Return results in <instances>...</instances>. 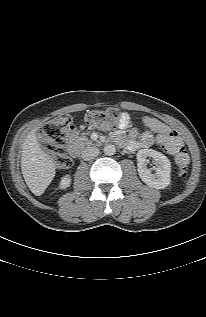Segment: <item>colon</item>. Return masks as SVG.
I'll return each instance as SVG.
<instances>
[{
    "label": "colon",
    "instance_id": "obj_1",
    "mask_svg": "<svg viewBox=\"0 0 206 317\" xmlns=\"http://www.w3.org/2000/svg\"><path fill=\"white\" fill-rule=\"evenodd\" d=\"M121 116L122 114L117 108H107L87 113L85 121L91 127L107 130L119 126ZM72 128L71 117L63 115L45 125L39 132L41 144L53 154L60 170H66L72 165V159L65 150V144ZM160 144L166 152L174 156L179 173L185 175L189 156L179 135L175 131L168 133Z\"/></svg>",
    "mask_w": 206,
    "mask_h": 317
}]
</instances>
